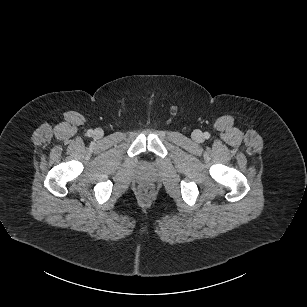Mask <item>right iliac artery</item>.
<instances>
[{"label": "right iliac artery", "instance_id": "82829eb1", "mask_svg": "<svg viewBox=\"0 0 307 307\" xmlns=\"http://www.w3.org/2000/svg\"><path fill=\"white\" fill-rule=\"evenodd\" d=\"M92 134H93V131H92V130H88V131H87V135H88V136H91Z\"/></svg>", "mask_w": 307, "mask_h": 307}]
</instances>
